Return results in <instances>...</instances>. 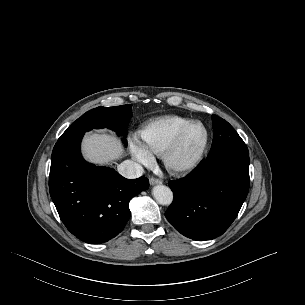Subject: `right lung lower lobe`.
<instances>
[{
	"label": "right lung lower lobe",
	"mask_w": 305,
	"mask_h": 305,
	"mask_svg": "<svg viewBox=\"0 0 305 305\" xmlns=\"http://www.w3.org/2000/svg\"><path fill=\"white\" fill-rule=\"evenodd\" d=\"M82 137L55 144L49 190L67 229L86 243L99 244L123 230L130 217L129 201L149 188V180L126 179L112 168L86 162L80 152Z\"/></svg>",
	"instance_id": "1"
}]
</instances>
